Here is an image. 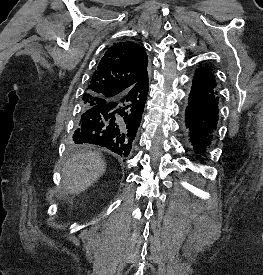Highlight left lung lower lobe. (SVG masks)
Masks as SVG:
<instances>
[{
    "label": "left lung lower lobe",
    "instance_id": "0a47b994",
    "mask_svg": "<svg viewBox=\"0 0 263 275\" xmlns=\"http://www.w3.org/2000/svg\"><path fill=\"white\" fill-rule=\"evenodd\" d=\"M218 114L219 94L213 70L200 65L185 110L186 134L197 158L205 155L213 140Z\"/></svg>",
    "mask_w": 263,
    "mask_h": 275
}]
</instances>
